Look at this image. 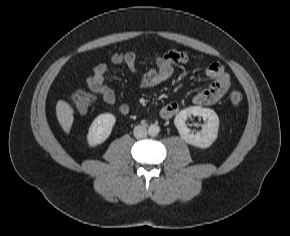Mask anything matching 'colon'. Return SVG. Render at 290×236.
Masks as SVG:
<instances>
[{"mask_svg":"<svg viewBox=\"0 0 290 236\" xmlns=\"http://www.w3.org/2000/svg\"><path fill=\"white\" fill-rule=\"evenodd\" d=\"M71 98L75 108L81 113L86 112L91 107L94 100L89 93L83 91H76ZM242 100L243 94L241 92L233 91L230 94V101L233 104H239Z\"/></svg>","mask_w":290,"mask_h":236,"instance_id":"1","label":"colon"}]
</instances>
